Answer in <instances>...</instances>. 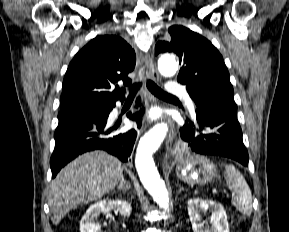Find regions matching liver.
<instances>
[{"label": "liver", "instance_id": "6515ba94", "mask_svg": "<svg viewBox=\"0 0 289 232\" xmlns=\"http://www.w3.org/2000/svg\"><path fill=\"white\" fill-rule=\"evenodd\" d=\"M122 176V163L105 152L77 157L51 183L48 203L52 222L58 224L70 210L108 194Z\"/></svg>", "mask_w": 289, "mask_h": 232}]
</instances>
